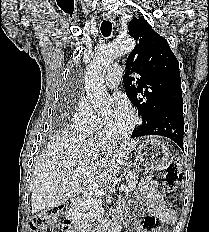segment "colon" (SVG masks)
<instances>
[{"label": "colon", "mask_w": 209, "mask_h": 232, "mask_svg": "<svg viewBox=\"0 0 209 232\" xmlns=\"http://www.w3.org/2000/svg\"><path fill=\"white\" fill-rule=\"evenodd\" d=\"M182 180V162L178 157H173L165 170L164 187L168 192L175 191ZM62 208L53 207L37 212L31 219V232H53L58 223Z\"/></svg>", "instance_id": "1"}]
</instances>
